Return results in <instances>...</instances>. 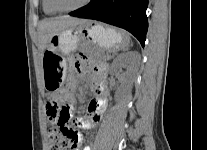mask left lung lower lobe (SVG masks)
<instances>
[{
  "label": "left lung lower lobe",
  "instance_id": "left-lung-lower-lobe-1",
  "mask_svg": "<svg viewBox=\"0 0 207 150\" xmlns=\"http://www.w3.org/2000/svg\"><path fill=\"white\" fill-rule=\"evenodd\" d=\"M148 0H92L70 13L71 16L95 19L132 33L144 47L148 22Z\"/></svg>",
  "mask_w": 207,
  "mask_h": 150
}]
</instances>
